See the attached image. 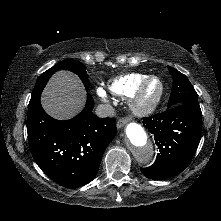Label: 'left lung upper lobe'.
<instances>
[{"instance_id": "left-lung-upper-lobe-1", "label": "left lung upper lobe", "mask_w": 221, "mask_h": 221, "mask_svg": "<svg viewBox=\"0 0 221 221\" xmlns=\"http://www.w3.org/2000/svg\"><path fill=\"white\" fill-rule=\"evenodd\" d=\"M168 69L173 78V88L168 101V107L185 105L196 112H201L198 104V95L188 78L173 67L168 66Z\"/></svg>"}]
</instances>
